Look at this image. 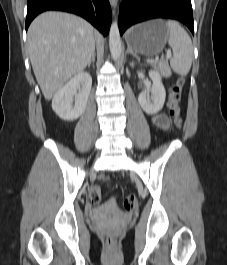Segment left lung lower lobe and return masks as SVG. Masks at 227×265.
<instances>
[{
    "instance_id": "1",
    "label": "left lung lower lobe",
    "mask_w": 227,
    "mask_h": 265,
    "mask_svg": "<svg viewBox=\"0 0 227 265\" xmlns=\"http://www.w3.org/2000/svg\"><path fill=\"white\" fill-rule=\"evenodd\" d=\"M153 18L179 20L194 34L191 0H125L119 9L120 34L133 24Z\"/></svg>"
}]
</instances>
